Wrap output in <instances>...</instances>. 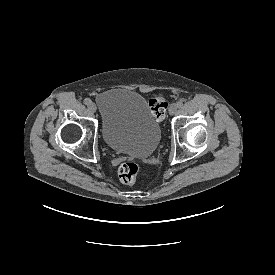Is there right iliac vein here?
<instances>
[{
	"label": "right iliac vein",
	"mask_w": 275,
	"mask_h": 275,
	"mask_svg": "<svg viewBox=\"0 0 275 275\" xmlns=\"http://www.w3.org/2000/svg\"><path fill=\"white\" fill-rule=\"evenodd\" d=\"M89 109L92 111V112H96L97 108H96V105L94 103H91L89 105Z\"/></svg>",
	"instance_id": "right-iliac-vein-1"
}]
</instances>
